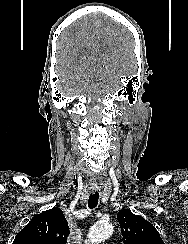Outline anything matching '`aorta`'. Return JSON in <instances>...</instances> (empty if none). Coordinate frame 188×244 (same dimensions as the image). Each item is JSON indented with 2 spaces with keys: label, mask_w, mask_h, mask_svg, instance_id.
I'll return each instance as SVG.
<instances>
[{
  "label": "aorta",
  "mask_w": 188,
  "mask_h": 244,
  "mask_svg": "<svg viewBox=\"0 0 188 244\" xmlns=\"http://www.w3.org/2000/svg\"><path fill=\"white\" fill-rule=\"evenodd\" d=\"M112 233L113 227L110 223L99 222L90 228L88 237L92 244H98L107 239Z\"/></svg>",
  "instance_id": "762f6f07"
}]
</instances>
